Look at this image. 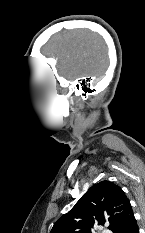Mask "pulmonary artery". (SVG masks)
<instances>
[{"label": "pulmonary artery", "instance_id": "1", "mask_svg": "<svg viewBox=\"0 0 145 233\" xmlns=\"http://www.w3.org/2000/svg\"><path fill=\"white\" fill-rule=\"evenodd\" d=\"M101 233H111L109 230H102Z\"/></svg>", "mask_w": 145, "mask_h": 233}]
</instances>
